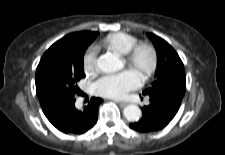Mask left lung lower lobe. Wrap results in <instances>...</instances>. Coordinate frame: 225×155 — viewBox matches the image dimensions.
Masks as SVG:
<instances>
[{
  "label": "left lung lower lobe",
  "mask_w": 225,
  "mask_h": 155,
  "mask_svg": "<svg viewBox=\"0 0 225 155\" xmlns=\"http://www.w3.org/2000/svg\"><path fill=\"white\" fill-rule=\"evenodd\" d=\"M181 102L182 98L179 96L150 97V104L142 108V119L129 126L142 133L159 131L174 118Z\"/></svg>",
  "instance_id": "1"
}]
</instances>
